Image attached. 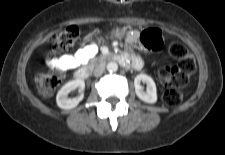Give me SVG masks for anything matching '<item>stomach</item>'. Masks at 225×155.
Segmentation results:
<instances>
[{"instance_id": "obj_1", "label": "stomach", "mask_w": 225, "mask_h": 155, "mask_svg": "<svg viewBox=\"0 0 225 155\" xmlns=\"http://www.w3.org/2000/svg\"><path fill=\"white\" fill-rule=\"evenodd\" d=\"M113 34H114L116 37L122 36V32L119 31V30H114V31H113Z\"/></svg>"}]
</instances>
